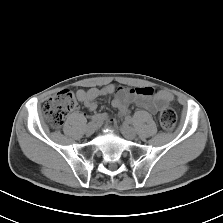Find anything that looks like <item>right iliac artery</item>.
<instances>
[{"label": "right iliac artery", "mask_w": 223, "mask_h": 223, "mask_svg": "<svg viewBox=\"0 0 223 223\" xmlns=\"http://www.w3.org/2000/svg\"><path fill=\"white\" fill-rule=\"evenodd\" d=\"M97 121H100V118H99L98 115H94V116H92L91 119H90V123H95V122H97Z\"/></svg>", "instance_id": "right-iliac-artery-1"}]
</instances>
